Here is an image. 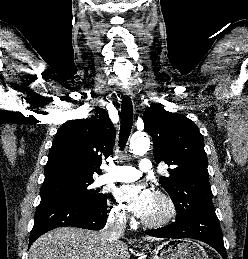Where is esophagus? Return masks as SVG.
I'll list each match as a JSON object with an SVG mask.
<instances>
[{
  "mask_svg": "<svg viewBox=\"0 0 248 259\" xmlns=\"http://www.w3.org/2000/svg\"><path fill=\"white\" fill-rule=\"evenodd\" d=\"M123 94H124L125 96H131V95H132V92H131L130 90H126V91L123 92Z\"/></svg>",
  "mask_w": 248,
  "mask_h": 259,
  "instance_id": "34e87169",
  "label": "esophagus"
}]
</instances>
